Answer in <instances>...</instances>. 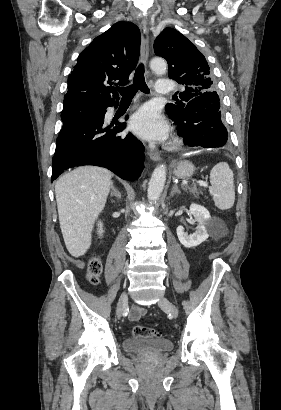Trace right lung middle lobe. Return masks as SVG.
I'll use <instances>...</instances> for the list:
<instances>
[{"instance_id": "right-lung-middle-lobe-1", "label": "right lung middle lobe", "mask_w": 281, "mask_h": 410, "mask_svg": "<svg viewBox=\"0 0 281 410\" xmlns=\"http://www.w3.org/2000/svg\"><path fill=\"white\" fill-rule=\"evenodd\" d=\"M101 107L96 106H71L63 108L61 118L63 128H67L85 118L96 116L100 112Z\"/></svg>"}]
</instances>
